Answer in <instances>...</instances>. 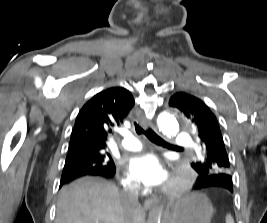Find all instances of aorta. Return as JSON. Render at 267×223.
Listing matches in <instances>:
<instances>
[{"label":"aorta","mask_w":267,"mask_h":223,"mask_svg":"<svg viewBox=\"0 0 267 223\" xmlns=\"http://www.w3.org/2000/svg\"><path fill=\"white\" fill-rule=\"evenodd\" d=\"M159 130L167 136H175L179 132V123L177 117L173 114L162 115L158 118ZM160 204L157 203L155 207L150 211L148 223H160Z\"/></svg>","instance_id":"1"}]
</instances>
